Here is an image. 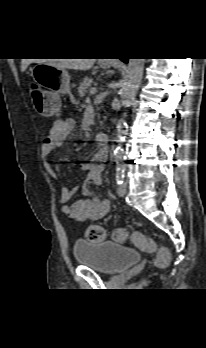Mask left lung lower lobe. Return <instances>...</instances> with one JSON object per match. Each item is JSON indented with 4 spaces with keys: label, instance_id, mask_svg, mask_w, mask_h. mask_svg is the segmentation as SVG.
Returning <instances> with one entry per match:
<instances>
[{
    "label": "left lung lower lobe",
    "instance_id": "1",
    "mask_svg": "<svg viewBox=\"0 0 206 348\" xmlns=\"http://www.w3.org/2000/svg\"><path fill=\"white\" fill-rule=\"evenodd\" d=\"M122 61H124V62H126L127 63V61H128V59H121Z\"/></svg>",
    "mask_w": 206,
    "mask_h": 348
}]
</instances>
